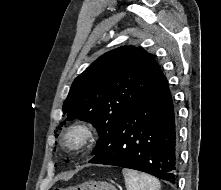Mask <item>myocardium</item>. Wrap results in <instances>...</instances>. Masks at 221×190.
Segmentation results:
<instances>
[{
  "label": "myocardium",
  "mask_w": 221,
  "mask_h": 190,
  "mask_svg": "<svg viewBox=\"0 0 221 190\" xmlns=\"http://www.w3.org/2000/svg\"><path fill=\"white\" fill-rule=\"evenodd\" d=\"M93 134V126L88 121L73 122L63 133V145L69 150L81 151L90 144Z\"/></svg>",
  "instance_id": "f54148a6"
}]
</instances>
